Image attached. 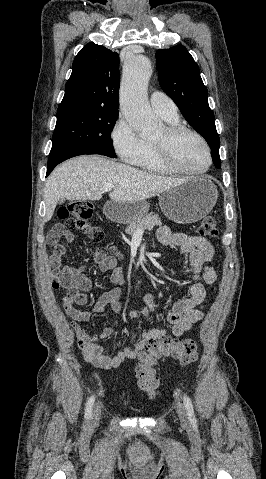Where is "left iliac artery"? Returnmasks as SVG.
Returning a JSON list of instances; mask_svg holds the SVG:
<instances>
[{
  "mask_svg": "<svg viewBox=\"0 0 266 479\" xmlns=\"http://www.w3.org/2000/svg\"><path fill=\"white\" fill-rule=\"evenodd\" d=\"M183 402H184V405L187 409V412H188V416L190 418L191 421H195L196 420V417H195V413H194V409H193V405H192V401L191 399L189 398V396L187 395H183Z\"/></svg>",
  "mask_w": 266,
  "mask_h": 479,
  "instance_id": "1",
  "label": "left iliac artery"
}]
</instances>
